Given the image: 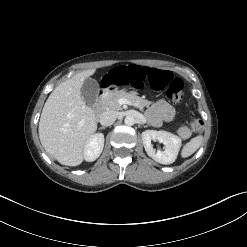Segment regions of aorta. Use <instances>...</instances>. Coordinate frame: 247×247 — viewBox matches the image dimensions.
Here are the masks:
<instances>
[{
	"label": "aorta",
	"instance_id": "762f6f07",
	"mask_svg": "<svg viewBox=\"0 0 247 247\" xmlns=\"http://www.w3.org/2000/svg\"><path fill=\"white\" fill-rule=\"evenodd\" d=\"M124 123L128 126H132L135 123V118L132 115H127L124 119Z\"/></svg>",
	"mask_w": 247,
	"mask_h": 247
}]
</instances>
